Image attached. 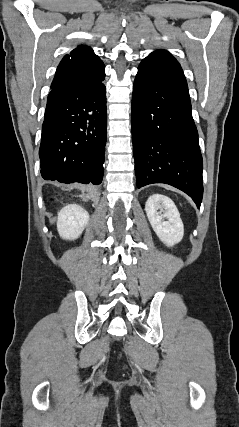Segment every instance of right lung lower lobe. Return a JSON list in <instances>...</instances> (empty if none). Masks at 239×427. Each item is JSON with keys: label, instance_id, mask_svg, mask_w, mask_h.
Listing matches in <instances>:
<instances>
[{"label": "right lung lower lobe", "instance_id": "1", "mask_svg": "<svg viewBox=\"0 0 239 427\" xmlns=\"http://www.w3.org/2000/svg\"><path fill=\"white\" fill-rule=\"evenodd\" d=\"M100 74L51 88L39 150L45 180L101 183L106 145V88Z\"/></svg>", "mask_w": 239, "mask_h": 427}]
</instances>
